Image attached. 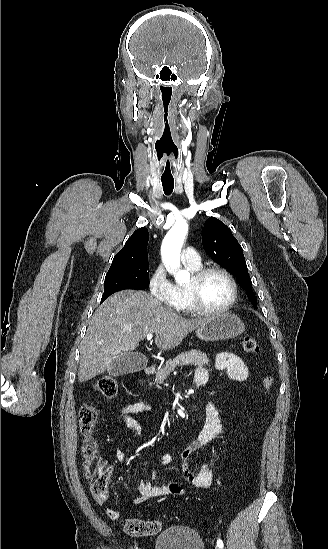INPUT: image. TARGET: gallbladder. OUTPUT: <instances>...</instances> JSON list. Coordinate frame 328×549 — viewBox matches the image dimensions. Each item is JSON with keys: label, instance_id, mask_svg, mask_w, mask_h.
<instances>
[{"label": "gallbladder", "instance_id": "bac80fb5", "mask_svg": "<svg viewBox=\"0 0 328 549\" xmlns=\"http://www.w3.org/2000/svg\"><path fill=\"white\" fill-rule=\"evenodd\" d=\"M148 365V359L142 353H123L117 359H112L107 369L111 377H120V375H129V373H138L143 371Z\"/></svg>", "mask_w": 328, "mask_h": 549}]
</instances>
